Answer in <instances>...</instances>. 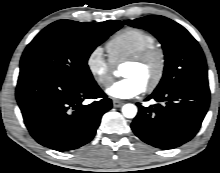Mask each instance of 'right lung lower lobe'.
I'll use <instances>...</instances> for the list:
<instances>
[{"label": "right lung lower lobe", "mask_w": 220, "mask_h": 173, "mask_svg": "<svg viewBox=\"0 0 220 173\" xmlns=\"http://www.w3.org/2000/svg\"><path fill=\"white\" fill-rule=\"evenodd\" d=\"M16 98L31 136L57 151L77 149L94 137L112 102L95 81L76 84L53 75L20 74ZM98 99L83 105L85 99Z\"/></svg>", "instance_id": "obj_1"}]
</instances>
